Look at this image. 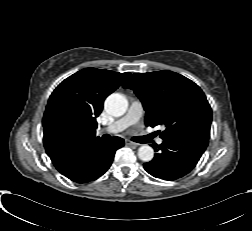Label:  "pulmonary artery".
<instances>
[{
    "mask_svg": "<svg viewBox=\"0 0 252 231\" xmlns=\"http://www.w3.org/2000/svg\"><path fill=\"white\" fill-rule=\"evenodd\" d=\"M144 113L143 105L140 101L134 100L131 102L126 114L120 119L116 120L107 128L102 131H106L108 133H118L126 129L127 127L137 123ZM157 144H162L163 139L158 138L156 140Z\"/></svg>",
    "mask_w": 252,
    "mask_h": 231,
    "instance_id": "pulmonary-artery-1",
    "label": "pulmonary artery"
}]
</instances>
